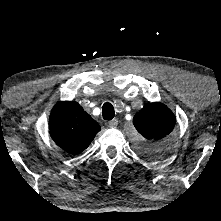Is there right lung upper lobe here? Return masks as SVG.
Here are the masks:
<instances>
[{
  "label": "right lung upper lobe",
  "mask_w": 221,
  "mask_h": 221,
  "mask_svg": "<svg viewBox=\"0 0 221 221\" xmlns=\"http://www.w3.org/2000/svg\"><path fill=\"white\" fill-rule=\"evenodd\" d=\"M50 135L54 142L70 154L85 150L100 131L77 102H59L52 109L49 119Z\"/></svg>",
  "instance_id": "1"
}]
</instances>
